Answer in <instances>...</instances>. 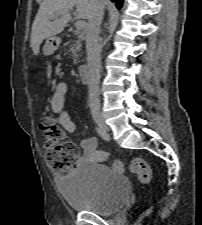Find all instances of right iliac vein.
I'll return each instance as SVG.
<instances>
[{
    "instance_id": "63e3f726",
    "label": "right iliac vein",
    "mask_w": 202,
    "mask_h": 225,
    "mask_svg": "<svg viewBox=\"0 0 202 225\" xmlns=\"http://www.w3.org/2000/svg\"><path fill=\"white\" fill-rule=\"evenodd\" d=\"M93 118L95 120V122L97 123V125L104 131L107 132L108 131V126L105 123L104 117L102 115V113L100 111H94L92 113Z\"/></svg>"
}]
</instances>
